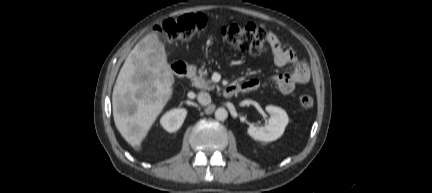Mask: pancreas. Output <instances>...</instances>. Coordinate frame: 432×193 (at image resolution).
I'll list each match as a JSON object with an SVG mask.
<instances>
[{
	"label": "pancreas",
	"instance_id": "pancreas-1",
	"mask_svg": "<svg viewBox=\"0 0 432 193\" xmlns=\"http://www.w3.org/2000/svg\"><path fill=\"white\" fill-rule=\"evenodd\" d=\"M206 75H207V70L199 69L198 76H194L192 78L193 85L200 89L213 90L217 86L212 84V81L210 79H206L205 78Z\"/></svg>",
	"mask_w": 432,
	"mask_h": 193
}]
</instances>
